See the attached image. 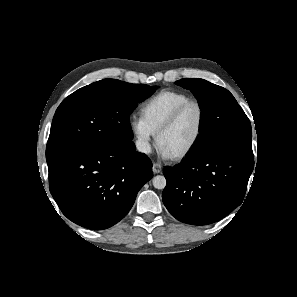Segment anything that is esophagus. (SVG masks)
<instances>
[{
  "mask_svg": "<svg viewBox=\"0 0 297 297\" xmlns=\"http://www.w3.org/2000/svg\"><path fill=\"white\" fill-rule=\"evenodd\" d=\"M152 170L153 173L158 174L162 171V166L159 163H154Z\"/></svg>",
  "mask_w": 297,
  "mask_h": 297,
  "instance_id": "obj_1",
  "label": "esophagus"
}]
</instances>
